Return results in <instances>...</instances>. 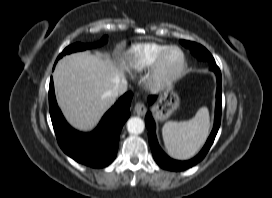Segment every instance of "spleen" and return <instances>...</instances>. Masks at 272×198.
I'll return each mask as SVG.
<instances>
[{
    "instance_id": "3e777b00",
    "label": "spleen",
    "mask_w": 272,
    "mask_h": 198,
    "mask_svg": "<svg viewBox=\"0 0 272 198\" xmlns=\"http://www.w3.org/2000/svg\"><path fill=\"white\" fill-rule=\"evenodd\" d=\"M209 128V111L207 107H202L197 111L195 117L188 121L166 122L162 128L164 145L173 158L189 159L204 144Z\"/></svg>"
}]
</instances>
